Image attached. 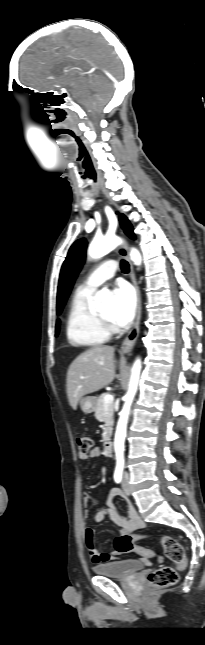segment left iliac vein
Listing matches in <instances>:
<instances>
[{
    "label": "left iliac vein",
    "instance_id": "1",
    "mask_svg": "<svg viewBox=\"0 0 205 645\" xmlns=\"http://www.w3.org/2000/svg\"><path fill=\"white\" fill-rule=\"evenodd\" d=\"M122 488H123V491H124V493L126 495H130L131 490H130V485H129V475H128V473H126L124 475L123 482H122Z\"/></svg>",
    "mask_w": 205,
    "mask_h": 645
}]
</instances>
